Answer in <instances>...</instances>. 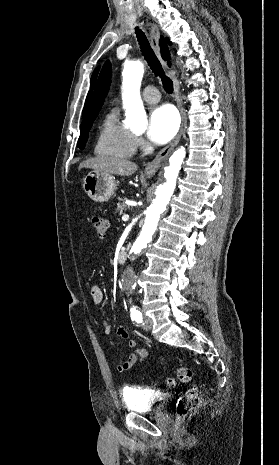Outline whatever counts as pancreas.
<instances>
[{
  "instance_id": "obj_1",
  "label": "pancreas",
  "mask_w": 279,
  "mask_h": 465,
  "mask_svg": "<svg viewBox=\"0 0 279 465\" xmlns=\"http://www.w3.org/2000/svg\"><path fill=\"white\" fill-rule=\"evenodd\" d=\"M120 201H122V200H120ZM127 209H128V206H127V205H125V204L122 203V202H119V203L117 204V208H116L115 212L118 213V214H122L123 211H126Z\"/></svg>"
}]
</instances>
